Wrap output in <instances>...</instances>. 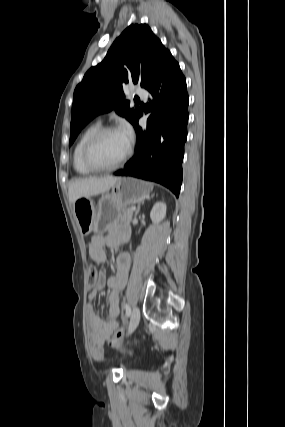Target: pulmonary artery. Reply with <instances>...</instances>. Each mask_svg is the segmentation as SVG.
Instances as JSON below:
<instances>
[{"mask_svg":"<svg viewBox=\"0 0 285 427\" xmlns=\"http://www.w3.org/2000/svg\"><path fill=\"white\" fill-rule=\"evenodd\" d=\"M135 94L142 99L147 98V91L143 87L137 86L135 88Z\"/></svg>","mask_w":285,"mask_h":427,"instance_id":"1","label":"pulmonary artery"}]
</instances>
